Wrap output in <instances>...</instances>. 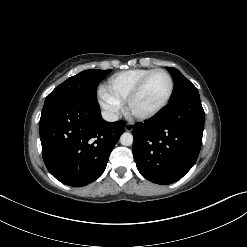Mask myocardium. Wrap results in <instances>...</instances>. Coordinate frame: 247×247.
<instances>
[{
    "label": "myocardium",
    "mask_w": 247,
    "mask_h": 247,
    "mask_svg": "<svg viewBox=\"0 0 247 247\" xmlns=\"http://www.w3.org/2000/svg\"><path fill=\"white\" fill-rule=\"evenodd\" d=\"M156 73L165 74L169 80V90H168V93H167L165 99L162 101V103L159 106H157L155 109H153L151 111H148L145 113H138V112L134 111V109H133L134 102L140 96L141 92L143 91V89H144L147 81L150 79V77ZM173 92H174V80H173L171 74L165 69H154V70L150 71L147 75H145L139 81V83L136 85V87L133 89V91L129 95V97L126 101L128 112L133 117L140 119V120L150 119V118L156 116L158 113H160L168 105V103H169V101L173 95Z\"/></svg>",
    "instance_id": "1"
}]
</instances>
